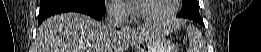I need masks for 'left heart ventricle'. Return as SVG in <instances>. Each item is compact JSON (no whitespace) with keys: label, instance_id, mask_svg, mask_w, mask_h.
Returning <instances> with one entry per match:
<instances>
[{"label":"left heart ventricle","instance_id":"left-heart-ventricle-1","mask_svg":"<svg viewBox=\"0 0 261 52\" xmlns=\"http://www.w3.org/2000/svg\"><path fill=\"white\" fill-rule=\"evenodd\" d=\"M171 7V0H146L138 1V12L147 17L161 16L167 13Z\"/></svg>","mask_w":261,"mask_h":52}]
</instances>
